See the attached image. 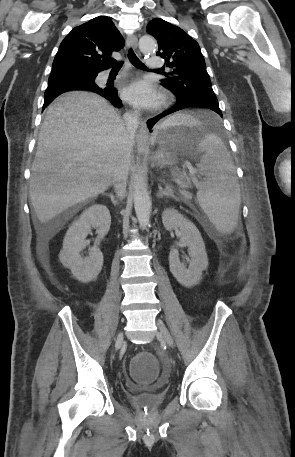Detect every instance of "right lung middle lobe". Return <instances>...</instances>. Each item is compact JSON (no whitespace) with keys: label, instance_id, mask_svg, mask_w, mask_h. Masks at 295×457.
<instances>
[{"label":"right lung middle lobe","instance_id":"1","mask_svg":"<svg viewBox=\"0 0 295 457\" xmlns=\"http://www.w3.org/2000/svg\"><path fill=\"white\" fill-rule=\"evenodd\" d=\"M94 78H95V76L80 77V78H77L76 80L84 81V82H92ZM63 92H65V90H56V89L47 90L46 89L45 94H44V98H47V97H50V96H53V95H59V94H61Z\"/></svg>","mask_w":295,"mask_h":457}]
</instances>
